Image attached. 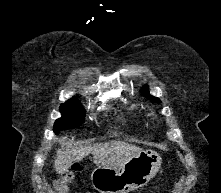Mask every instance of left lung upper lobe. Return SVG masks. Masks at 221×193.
Wrapping results in <instances>:
<instances>
[{"mask_svg":"<svg viewBox=\"0 0 221 193\" xmlns=\"http://www.w3.org/2000/svg\"><path fill=\"white\" fill-rule=\"evenodd\" d=\"M141 92H142L146 97H148L150 100L155 101V102H158V103L161 102L160 99H158V98H156V97H153V96H151V95L149 94V92H148V87H147V86H144V88L141 90Z\"/></svg>","mask_w":221,"mask_h":193,"instance_id":"1","label":"left lung upper lobe"}]
</instances>
